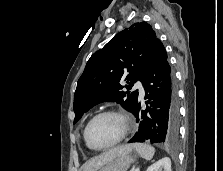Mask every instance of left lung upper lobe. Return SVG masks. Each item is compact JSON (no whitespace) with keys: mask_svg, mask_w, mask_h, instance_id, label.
I'll return each mask as SVG.
<instances>
[{"mask_svg":"<svg viewBox=\"0 0 223 171\" xmlns=\"http://www.w3.org/2000/svg\"><path fill=\"white\" fill-rule=\"evenodd\" d=\"M152 26L146 22L134 23L112 38L88 60L78 80L74 95V124L94 105L117 102L133 113L138 102V91H123L120 80H127L129 90L142 80L156 44ZM125 71L129 72L127 76Z\"/></svg>","mask_w":223,"mask_h":171,"instance_id":"1","label":"left lung upper lobe"}]
</instances>
